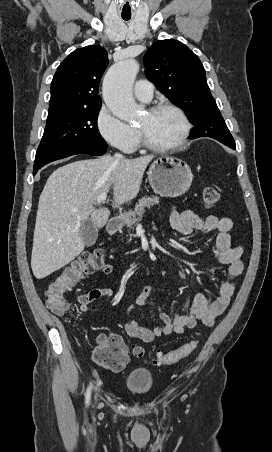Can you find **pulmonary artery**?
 I'll list each match as a JSON object with an SVG mask.
<instances>
[{
	"label": "pulmonary artery",
	"instance_id": "e3ab8cb5",
	"mask_svg": "<svg viewBox=\"0 0 272 452\" xmlns=\"http://www.w3.org/2000/svg\"><path fill=\"white\" fill-rule=\"evenodd\" d=\"M135 97L142 102H150L153 97V85L146 80H139L134 87Z\"/></svg>",
	"mask_w": 272,
	"mask_h": 452
}]
</instances>
